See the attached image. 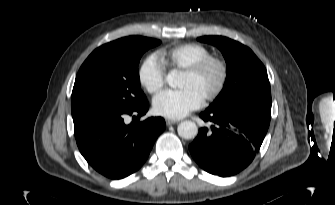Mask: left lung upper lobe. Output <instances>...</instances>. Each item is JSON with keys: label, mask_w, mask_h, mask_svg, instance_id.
<instances>
[{"label": "left lung upper lobe", "mask_w": 335, "mask_h": 205, "mask_svg": "<svg viewBox=\"0 0 335 205\" xmlns=\"http://www.w3.org/2000/svg\"><path fill=\"white\" fill-rule=\"evenodd\" d=\"M198 41L217 46L227 64L224 87L207 108H251L271 114V89L267 71L251 49L223 36H204Z\"/></svg>", "instance_id": "5c2ea615"}]
</instances>
